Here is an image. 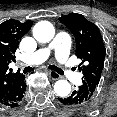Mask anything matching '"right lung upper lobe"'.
I'll list each match as a JSON object with an SVG mask.
<instances>
[{
    "instance_id": "cb5924a9",
    "label": "right lung upper lobe",
    "mask_w": 117,
    "mask_h": 117,
    "mask_svg": "<svg viewBox=\"0 0 117 117\" xmlns=\"http://www.w3.org/2000/svg\"><path fill=\"white\" fill-rule=\"evenodd\" d=\"M32 21L20 23L7 20L0 24V99L8 91L12 83L21 78L20 72L12 73L9 63L15 61V51L19 41L31 28Z\"/></svg>"
}]
</instances>
